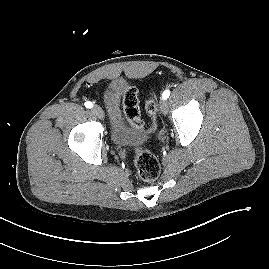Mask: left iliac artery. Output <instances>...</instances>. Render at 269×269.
Returning <instances> with one entry per match:
<instances>
[{"mask_svg": "<svg viewBox=\"0 0 269 269\" xmlns=\"http://www.w3.org/2000/svg\"><path fill=\"white\" fill-rule=\"evenodd\" d=\"M170 96V91L169 90H165L162 94V98L163 99H167Z\"/></svg>", "mask_w": 269, "mask_h": 269, "instance_id": "44dca946", "label": "left iliac artery"}]
</instances>
